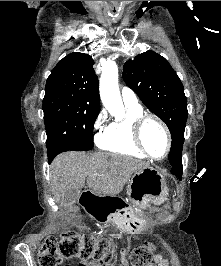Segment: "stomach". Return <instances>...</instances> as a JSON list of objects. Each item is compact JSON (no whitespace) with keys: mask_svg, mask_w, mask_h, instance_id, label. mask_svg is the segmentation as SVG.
Listing matches in <instances>:
<instances>
[{"mask_svg":"<svg viewBox=\"0 0 221 266\" xmlns=\"http://www.w3.org/2000/svg\"><path fill=\"white\" fill-rule=\"evenodd\" d=\"M127 194L132 207L117 216L133 228L145 225L142 211L151 205L162 204L168 195L166 180L161 172L151 166L134 173L127 187Z\"/></svg>","mask_w":221,"mask_h":266,"instance_id":"1","label":"stomach"}]
</instances>
